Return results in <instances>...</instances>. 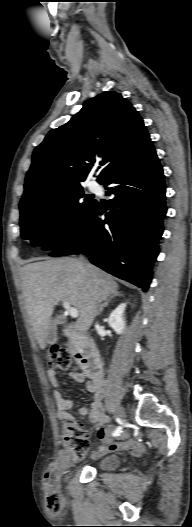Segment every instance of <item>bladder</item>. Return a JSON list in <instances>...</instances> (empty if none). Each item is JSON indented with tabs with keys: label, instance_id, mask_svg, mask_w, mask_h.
Here are the masks:
<instances>
[{
	"label": "bladder",
	"instance_id": "obj_1",
	"mask_svg": "<svg viewBox=\"0 0 192 527\" xmlns=\"http://www.w3.org/2000/svg\"><path fill=\"white\" fill-rule=\"evenodd\" d=\"M120 464V459L115 454H107L100 457L96 462V468L100 471H111Z\"/></svg>",
	"mask_w": 192,
	"mask_h": 527
}]
</instances>
